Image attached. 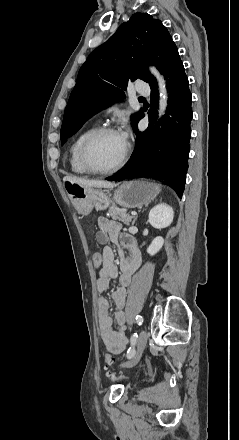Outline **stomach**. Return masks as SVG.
<instances>
[{"label":"stomach","instance_id":"0dacf381","mask_svg":"<svg viewBox=\"0 0 239 440\" xmlns=\"http://www.w3.org/2000/svg\"><path fill=\"white\" fill-rule=\"evenodd\" d=\"M66 192L72 200L78 214L87 216L95 210H107L110 204H119L123 208H142L144 204H150L161 192L160 184L144 182V180H132L121 184L113 198L106 196L102 190L94 188H81L78 184H68Z\"/></svg>","mask_w":239,"mask_h":440}]
</instances>
